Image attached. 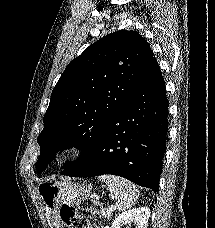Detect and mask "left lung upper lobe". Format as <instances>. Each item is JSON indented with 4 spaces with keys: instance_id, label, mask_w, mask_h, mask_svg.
Wrapping results in <instances>:
<instances>
[{
    "instance_id": "left-lung-upper-lobe-1",
    "label": "left lung upper lobe",
    "mask_w": 215,
    "mask_h": 228,
    "mask_svg": "<svg viewBox=\"0 0 215 228\" xmlns=\"http://www.w3.org/2000/svg\"><path fill=\"white\" fill-rule=\"evenodd\" d=\"M153 51L136 31L120 30L95 42L72 60L52 91L37 138L38 173L55 154L72 146L81 150L72 170L91 150L118 109L139 86L153 63Z\"/></svg>"
}]
</instances>
